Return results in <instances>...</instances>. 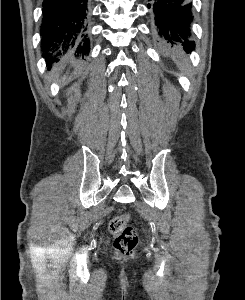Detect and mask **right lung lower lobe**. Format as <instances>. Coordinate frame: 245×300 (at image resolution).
Returning a JSON list of instances; mask_svg holds the SVG:
<instances>
[{
    "instance_id": "98d812e1",
    "label": "right lung lower lobe",
    "mask_w": 245,
    "mask_h": 300,
    "mask_svg": "<svg viewBox=\"0 0 245 300\" xmlns=\"http://www.w3.org/2000/svg\"><path fill=\"white\" fill-rule=\"evenodd\" d=\"M42 13L43 57L48 65L67 52L89 53L88 0H44Z\"/></svg>"
}]
</instances>
